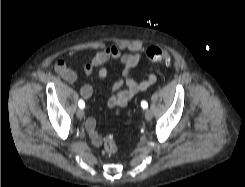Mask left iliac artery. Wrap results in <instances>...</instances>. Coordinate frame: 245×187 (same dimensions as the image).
<instances>
[{
    "mask_svg": "<svg viewBox=\"0 0 245 187\" xmlns=\"http://www.w3.org/2000/svg\"><path fill=\"white\" fill-rule=\"evenodd\" d=\"M141 107H142L143 109L147 108V107H148V103H147L146 101H142V102H141Z\"/></svg>",
    "mask_w": 245,
    "mask_h": 187,
    "instance_id": "1",
    "label": "left iliac artery"
}]
</instances>
